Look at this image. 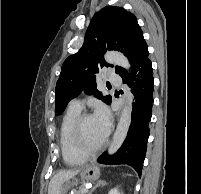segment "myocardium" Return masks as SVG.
Returning a JSON list of instances; mask_svg holds the SVG:
<instances>
[{
  "label": "myocardium",
  "mask_w": 201,
  "mask_h": 194,
  "mask_svg": "<svg viewBox=\"0 0 201 194\" xmlns=\"http://www.w3.org/2000/svg\"><path fill=\"white\" fill-rule=\"evenodd\" d=\"M90 117L91 115L87 113L80 114L79 117L76 119L74 128H73V138H74L75 147L81 154H83L86 157L97 154L99 151H101L104 148L106 144V139H104L96 147L89 148L86 146L83 139L82 127H83L84 121Z\"/></svg>",
  "instance_id": "myocardium-1"
}]
</instances>
